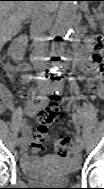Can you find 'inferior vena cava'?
I'll list each match as a JSON object with an SVG mask.
<instances>
[{"instance_id": "inferior-vena-cava-1", "label": "inferior vena cava", "mask_w": 104, "mask_h": 189, "mask_svg": "<svg viewBox=\"0 0 104 189\" xmlns=\"http://www.w3.org/2000/svg\"><path fill=\"white\" fill-rule=\"evenodd\" d=\"M49 15L47 9L42 7L32 13L31 34L33 37L38 38L42 36L43 32L47 29ZM46 48L44 40L37 39L34 46V56L36 57L38 66V83L39 88H50L49 82L48 62L43 61V54Z\"/></svg>"}]
</instances>
